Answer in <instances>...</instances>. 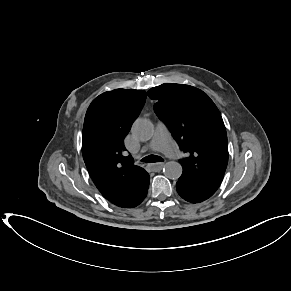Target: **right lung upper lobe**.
Returning <instances> with one entry per match:
<instances>
[{
	"instance_id": "right-lung-upper-lobe-1",
	"label": "right lung upper lobe",
	"mask_w": 291,
	"mask_h": 291,
	"mask_svg": "<svg viewBox=\"0 0 291 291\" xmlns=\"http://www.w3.org/2000/svg\"><path fill=\"white\" fill-rule=\"evenodd\" d=\"M146 101L144 90L115 89L96 97L87 109L82 154L101 194L111 203H130L149 184V174L124 156L123 139Z\"/></svg>"
}]
</instances>
